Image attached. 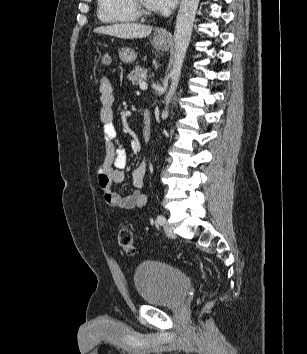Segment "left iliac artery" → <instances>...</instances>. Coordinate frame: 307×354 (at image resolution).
Masks as SVG:
<instances>
[{"label": "left iliac artery", "mask_w": 307, "mask_h": 354, "mask_svg": "<svg viewBox=\"0 0 307 354\" xmlns=\"http://www.w3.org/2000/svg\"><path fill=\"white\" fill-rule=\"evenodd\" d=\"M165 221H166V219H165V217L163 215H158L157 216V222H158L159 225H164Z\"/></svg>", "instance_id": "left-iliac-artery-1"}]
</instances>
